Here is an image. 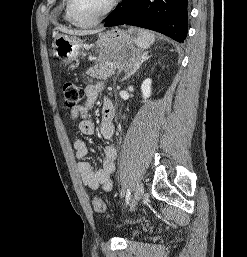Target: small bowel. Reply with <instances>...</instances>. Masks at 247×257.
I'll use <instances>...</instances> for the list:
<instances>
[{
  "label": "small bowel",
  "mask_w": 247,
  "mask_h": 257,
  "mask_svg": "<svg viewBox=\"0 0 247 257\" xmlns=\"http://www.w3.org/2000/svg\"><path fill=\"white\" fill-rule=\"evenodd\" d=\"M104 89L105 85L103 83L87 86L84 90L86 102L76 105L71 109V120L78 121L79 129L84 134H92L95 130L94 123L90 119L89 110ZM113 116L114 107L112 102L109 99H105L100 121V134L105 139H112L115 134V127L112 122ZM74 149L76 158L79 160L77 168L84 185L92 190L103 188L105 191H110L113 186L111 175L115 171L117 158L116 148L111 145L105 147L102 167L97 171L86 161L89 149L83 140L77 139L74 142Z\"/></svg>",
  "instance_id": "1"
}]
</instances>
